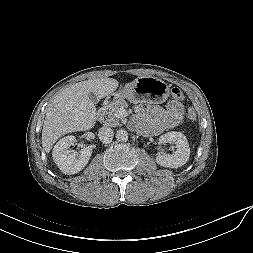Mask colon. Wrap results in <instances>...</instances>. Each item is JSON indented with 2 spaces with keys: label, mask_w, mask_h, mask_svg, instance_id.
Returning <instances> with one entry per match:
<instances>
[{
  "label": "colon",
  "mask_w": 253,
  "mask_h": 253,
  "mask_svg": "<svg viewBox=\"0 0 253 253\" xmlns=\"http://www.w3.org/2000/svg\"><path fill=\"white\" fill-rule=\"evenodd\" d=\"M171 93L176 100L181 101L184 99V94L178 87L172 88ZM187 116L190 121H195L197 118V114L193 108H189Z\"/></svg>",
  "instance_id": "5ec220e1"
}]
</instances>
